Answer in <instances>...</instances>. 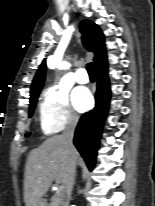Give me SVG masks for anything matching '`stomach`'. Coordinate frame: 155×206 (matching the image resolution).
Instances as JSON below:
<instances>
[{
	"label": "stomach",
	"mask_w": 155,
	"mask_h": 206,
	"mask_svg": "<svg viewBox=\"0 0 155 206\" xmlns=\"http://www.w3.org/2000/svg\"><path fill=\"white\" fill-rule=\"evenodd\" d=\"M36 206H47L45 199H40Z\"/></svg>",
	"instance_id": "stomach-1"
}]
</instances>
